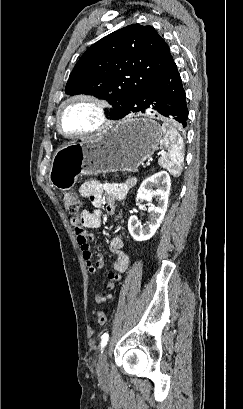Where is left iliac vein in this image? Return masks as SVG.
Segmentation results:
<instances>
[{
    "label": "left iliac vein",
    "mask_w": 243,
    "mask_h": 409,
    "mask_svg": "<svg viewBox=\"0 0 243 409\" xmlns=\"http://www.w3.org/2000/svg\"><path fill=\"white\" fill-rule=\"evenodd\" d=\"M108 374L107 351L105 350L99 357L97 364V375L99 379H104Z\"/></svg>",
    "instance_id": "left-iliac-vein-1"
}]
</instances>
